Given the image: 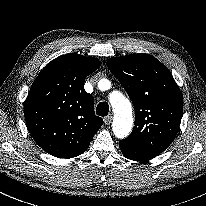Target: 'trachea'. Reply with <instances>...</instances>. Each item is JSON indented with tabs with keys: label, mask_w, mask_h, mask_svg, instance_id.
<instances>
[{
	"label": "trachea",
	"mask_w": 206,
	"mask_h": 206,
	"mask_svg": "<svg viewBox=\"0 0 206 206\" xmlns=\"http://www.w3.org/2000/svg\"><path fill=\"white\" fill-rule=\"evenodd\" d=\"M109 112V105L107 102H100L96 108V114L99 116H107Z\"/></svg>",
	"instance_id": "3493384b"
}]
</instances>
